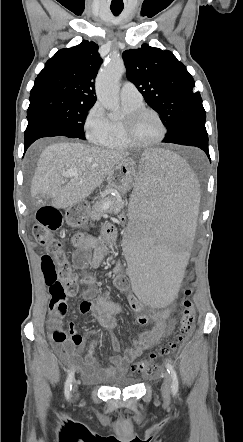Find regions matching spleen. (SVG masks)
<instances>
[{"label": "spleen", "instance_id": "obj_1", "mask_svg": "<svg viewBox=\"0 0 243 442\" xmlns=\"http://www.w3.org/2000/svg\"><path fill=\"white\" fill-rule=\"evenodd\" d=\"M130 185V219L123 239L127 280L145 307H166L178 296L197 226L199 181L163 147H144Z\"/></svg>", "mask_w": 243, "mask_h": 442}]
</instances>
